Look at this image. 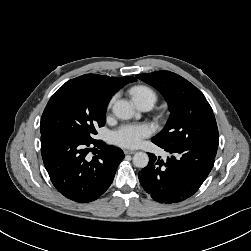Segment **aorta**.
Returning <instances> with one entry per match:
<instances>
[{
	"label": "aorta",
	"instance_id": "aorta-1",
	"mask_svg": "<svg viewBox=\"0 0 251 251\" xmlns=\"http://www.w3.org/2000/svg\"><path fill=\"white\" fill-rule=\"evenodd\" d=\"M113 113L121 119H130L134 115L133 106L126 100H118L112 107ZM149 157L144 152H137L133 156V164L138 168H144L148 165Z\"/></svg>",
	"mask_w": 251,
	"mask_h": 251
}]
</instances>
